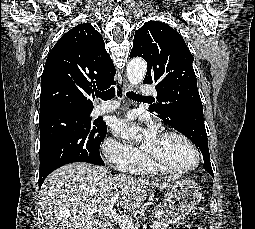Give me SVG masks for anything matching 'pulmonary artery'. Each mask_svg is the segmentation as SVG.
Listing matches in <instances>:
<instances>
[{
  "label": "pulmonary artery",
  "instance_id": "e3ab8cb5",
  "mask_svg": "<svg viewBox=\"0 0 255 229\" xmlns=\"http://www.w3.org/2000/svg\"><path fill=\"white\" fill-rule=\"evenodd\" d=\"M141 92L145 95L149 94H156V89L153 86H143L141 88ZM119 106V103L117 102H108L102 105H99L96 108V114L101 115V114H106L115 111Z\"/></svg>",
  "mask_w": 255,
  "mask_h": 229
}]
</instances>
